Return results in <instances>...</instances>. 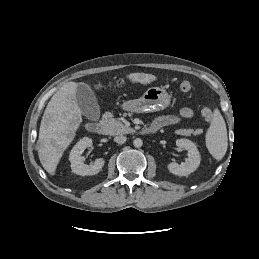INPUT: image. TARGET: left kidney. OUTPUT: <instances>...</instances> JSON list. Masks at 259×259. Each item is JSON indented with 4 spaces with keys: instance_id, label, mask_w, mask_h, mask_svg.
Instances as JSON below:
<instances>
[{
    "instance_id": "1",
    "label": "left kidney",
    "mask_w": 259,
    "mask_h": 259,
    "mask_svg": "<svg viewBox=\"0 0 259 259\" xmlns=\"http://www.w3.org/2000/svg\"><path fill=\"white\" fill-rule=\"evenodd\" d=\"M176 145L179 148L187 150L188 158L180 165L175 162H171L167 165V168L172 174L187 176L198 168L201 161L200 153L196 145L188 139H178L176 140Z\"/></svg>"
}]
</instances>
